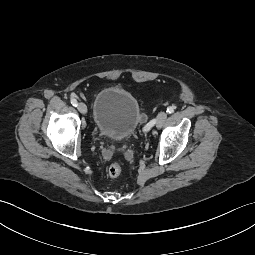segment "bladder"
Segmentation results:
<instances>
[{
	"label": "bladder",
	"mask_w": 255,
	"mask_h": 255,
	"mask_svg": "<svg viewBox=\"0 0 255 255\" xmlns=\"http://www.w3.org/2000/svg\"><path fill=\"white\" fill-rule=\"evenodd\" d=\"M93 120L101 135L116 140L125 139L142 123L141 107L128 90L109 86L95 97Z\"/></svg>",
	"instance_id": "1"
}]
</instances>
